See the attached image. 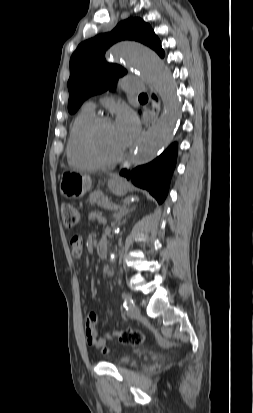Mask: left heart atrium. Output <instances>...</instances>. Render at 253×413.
I'll list each match as a JSON object with an SVG mask.
<instances>
[{"mask_svg": "<svg viewBox=\"0 0 253 413\" xmlns=\"http://www.w3.org/2000/svg\"><path fill=\"white\" fill-rule=\"evenodd\" d=\"M113 127L123 148H125L136 136L139 123L132 111L121 109L116 117Z\"/></svg>", "mask_w": 253, "mask_h": 413, "instance_id": "obj_1", "label": "left heart atrium"}]
</instances>
